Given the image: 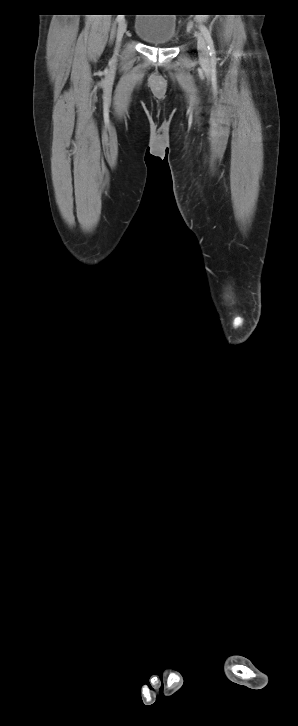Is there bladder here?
<instances>
[{
  "mask_svg": "<svg viewBox=\"0 0 298 726\" xmlns=\"http://www.w3.org/2000/svg\"><path fill=\"white\" fill-rule=\"evenodd\" d=\"M177 23L172 14H139L134 33L151 46L165 47L176 38Z\"/></svg>",
  "mask_w": 298,
  "mask_h": 726,
  "instance_id": "bladder-1",
  "label": "bladder"
}]
</instances>
